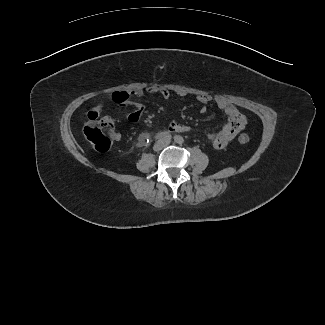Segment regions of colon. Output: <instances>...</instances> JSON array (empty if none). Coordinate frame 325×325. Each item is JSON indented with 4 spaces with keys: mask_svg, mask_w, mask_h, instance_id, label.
I'll return each instance as SVG.
<instances>
[{
    "mask_svg": "<svg viewBox=\"0 0 325 325\" xmlns=\"http://www.w3.org/2000/svg\"><path fill=\"white\" fill-rule=\"evenodd\" d=\"M83 132L85 138L95 150L105 152L111 146L115 125L110 118L88 116ZM238 141L241 144H246L250 141V137L243 133L238 136Z\"/></svg>",
    "mask_w": 325,
    "mask_h": 325,
    "instance_id": "colon-1",
    "label": "colon"
}]
</instances>
